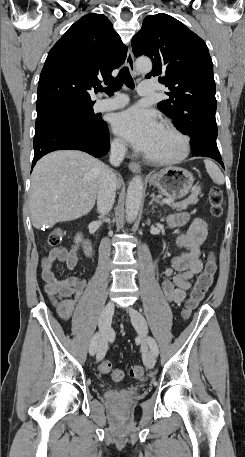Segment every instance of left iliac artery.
<instances>
[{
  "mask_svg": "<svg viewBox=\"0 0 245 457\" xmlns=\"http://www.w3.org/2000/svg\"><path fill=\"white\" fill-rule=\"evenodd\" d=\"M148 344H149V346H150L151 352H152L155 356L158 355L159 350H158V346H157L156 341H155L153 338L149 337V338H148Z\"/></svg>",
  "mask_w": 245,
  "mask_h": 457,
  "instance_id": "1",
  "label": "left iliac artery"
}]
</instances>
